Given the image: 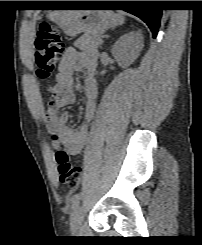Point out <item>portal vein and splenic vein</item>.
I'll use <instances>...</instances> for the list:
<instances>
[{
  "instance_id": "obj_1",
  "label": "portal vein and splenic vein",
  "mask_w": 202,
  "mask_h": 245,
  "mask_svg": "<svg viewBox=\"0 0 202 245\" xmlns=\"http://www.w3.org/2000/svg\"><path fill=\"white\" fill-rule=\"evenodd\" d=\"M99 42H100L101 44H103V40H102L101 38H99Z\"/></svg>"
}]
</instances>
